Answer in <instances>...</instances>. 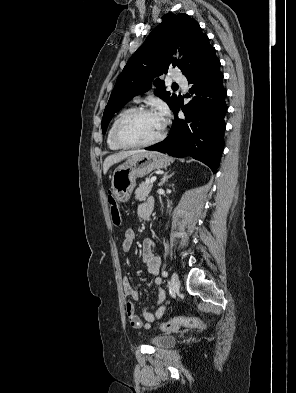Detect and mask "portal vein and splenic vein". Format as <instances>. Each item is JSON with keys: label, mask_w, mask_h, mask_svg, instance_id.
I'll return each instance as SVG.
<instances>
[{"label": "portal vein and splenic vein", "mask_w": 296, "mask_h": 393, "mask_svg": "<svg viewBox=\"0 0 296 393\" xmlns=\"http://www.w3.org/2000/svg\"><path fill=\"white\" fill-rule=\"evenodd\" d=\"M156 180H157V177H152L150 182L154 183Z\"/></svg>", "instance_id": "portal-vein-and-splenic-vein-1"}]
</instances>
